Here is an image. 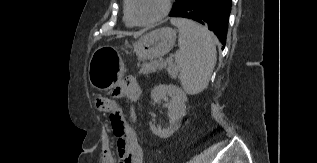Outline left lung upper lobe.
<instances>
[{"instance_id": "1", "label": "left lung upper lobe", "mask_w": 317, "mask_h": 163, "mask_svg": "<svg viewBox=\"0 0 317 163\" xmlns=\"http://www.w3.org/2000/svg\"><path fill=\"white\" fill-rule=\"evenodd\" d=\"M178 1L179 0H176V2L173 4V8H175L178 5Z\"/></svg>"}]
</instances>
